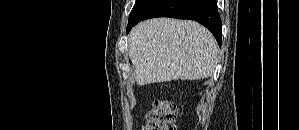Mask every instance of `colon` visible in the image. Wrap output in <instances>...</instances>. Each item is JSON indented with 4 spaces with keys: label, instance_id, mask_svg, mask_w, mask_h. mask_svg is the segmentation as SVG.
Listing matches in <instances>:
<instances>
[{
    "label": "colon",
    "instance_id": "obj_1",
    "mask_svg": "<svg viewBox=\"0 0 299 130\" xmlns=\"http://www.w3.org/2000/svg\"><path fill=\"white\" fill-rule=\"evenodd\" d=\"M177 107L168 99H156L147 115L144 130H176Z\"/></svg>",
    "mask_w": 299,
    "mask_h": 130
}]
</instances>
